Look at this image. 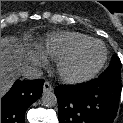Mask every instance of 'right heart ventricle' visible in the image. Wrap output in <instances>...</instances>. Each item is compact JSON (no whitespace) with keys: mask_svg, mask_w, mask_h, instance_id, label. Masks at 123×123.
Here are the masks:
<instances>
[{"mask_svg":"<svg viewBox=\"0 0 123 123\" xmlns=\"http://www.w3.org/2000/svg\"><path fill=\"white\" fill-rule=\"evenodd\" d=\"M91 39L90 37L71 31H60L47 35L37 46L36 52L43 57L59 59L76 45Z\"/></svg>","mask_w":123,"mask_h":123,"instance_id":"right-heart-ventricle-1","label":"right heart ventricle"}]
</instances>
